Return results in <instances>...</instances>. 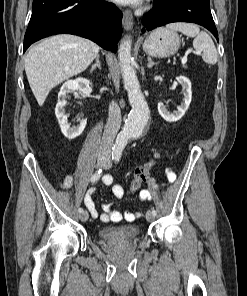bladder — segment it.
I'll return each instance as SVG.
<instances>
[{"label":"bladder","mask_w":247,"mask_h":296,"mask_svg":"<svg viewBox=\"0 0 247 296\" xmlns=\"http://www.w3.org/2000/svg\"><path fill=\"white\" fill-rule=\"evenodd\" d=\"M139 234L140 229L136 224L104 226L98 231L99 237L109 242L133 240Z\"/></svg>","instance_id":"1"}]
</instances>
